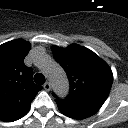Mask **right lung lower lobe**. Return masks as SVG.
<instances>
[{
    "instance_id": "1",
    "label": "right lung lower lobe",
    "mask_w": 128,
    "mask_h": 128,
    "mask_svg": "<svg viewBox=\"0 0 128 128\" xmlns=\"http://www.w3.org/2000/svg\"><path fill=\"white\" fill-rule=\"evenodd\" d=\"M29 111V109L27 111H25L24 113H22L20 116L14 118L13 120L9 121V122H12V121H15L17 119H20L21 117H23L24 115H26V113Z\"/></svg>"
}]
</instances>
